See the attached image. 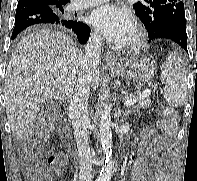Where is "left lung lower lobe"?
I'll list each match as a JSON object with an SVG mask.
<instances>
[{"instance_id":"1","label":"left lung lower lobe","mask_w":197,"mask_h":181,"mask_svg":"<svg viewBox=\"0 0 197 181\" xmlns=\"http://www.w3.org/2000/svg\"><path fill=\"white\" fill-rule=\"evenodd\" d=\"M166 38L179 44L187 53L186 20L177 19L167 22L158 31L157 36L149 39Z\"/></svg>"}]
</instances>
